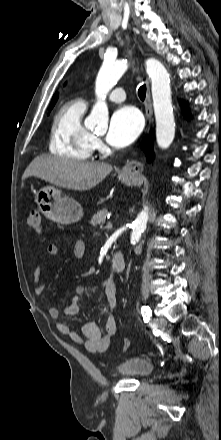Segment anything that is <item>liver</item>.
Wrapping results in <instances>:
<instances>
[{
    "mask_svg": "<svg viewBox=\"0 0 221 440\" xmlns=\"http://www.w3.org/2000/svg\"><path fill=\"white\" fill-rule=\"evenodd\" d=\"M112 169L113 167L107 163L41 155L30 163L22 179L35 176L56 186L86 191L98 185Z\"/></svg>",
    "mask_w": 221,
    "mask_h": 440,
    "instance_id": "6515ba94",
    "label": "liver"
}]
</instances>
